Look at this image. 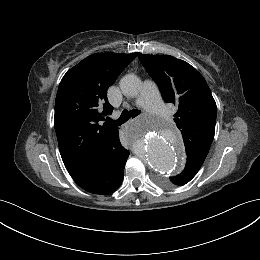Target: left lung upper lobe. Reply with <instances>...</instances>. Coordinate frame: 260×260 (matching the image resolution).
Segmentation results:
<instances>
[{
	"label": "left lung upper lobe",
	"instance_id": "5c2ea615",
	"mask_svg": "<svg viewBox=\"0 0 260 260\" xmlns=\"http://www.w3.org/2000/svg\"><path fill=\"white\" fill-rule=\"evenodd\" d=\"M138 57L157 83L165 102L178 107L174 121L181 131L187 160L203 164L215 134L217 107L202 75L187 62L169 55ZM162 185L172 186L162 180Z\"/></svg>",
	"mask_w": 260,
	"mask_h": 260
}]
</instances>
